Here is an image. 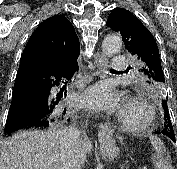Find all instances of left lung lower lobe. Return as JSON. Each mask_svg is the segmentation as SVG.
<instances>
[{
	"mask_svg": "<svg viewBox=\"0 0 177 169\" xmlns=\"http://www.w3.org/2000/svg\"><path fill=\"white\" fill-rule=\"evenodd\" d=\"M155 133H162L163 135H166L167 137H169L173 142L176 141L175 139V134L171 132V130H162V131H156Z\"/></svg>",
	"mask_w": 177,
	"mask_h": 169,
	"instance_id": "obj_1",
	"label": "left lung lower lobe"
}]
</instances>
